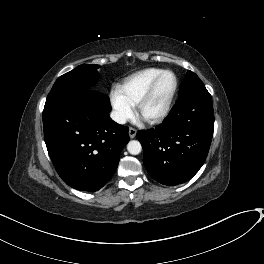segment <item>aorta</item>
I'll return each mask as SVG.
<instances>
[{
  "instance_id": "obj_1",
  "label": "aorta",
  "mask_w": 264,
  "mask_h": 264,
  "mask_svg": "<svg viewBox=\"0 0 264 264\" xmlns=\"http://www.w3.org/2000/svg\"><path fill=\"white\" fill-rule=\"evenodd\" d=\"M127 150L130 154L132 155H137L141 152L142 150V146L140 144L139 141L137 140H131L128 144H127Z\"/></svg>"
}]
</instances>
